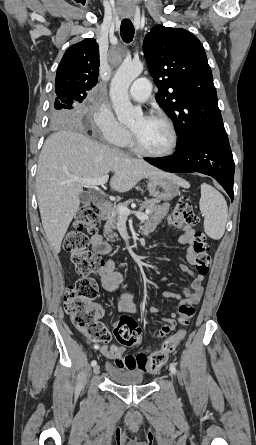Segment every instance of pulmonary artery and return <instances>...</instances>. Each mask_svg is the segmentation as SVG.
Segmentation results:
<instances>
[{"label": "pulmonary artery", "mask_w": 256, "mask_h": 445, "mask_svg": "<svg viewBox=\"0 0 256 445\" xmlns=\"http://www.w3.org/2000/svg\"><path fill=\"white\" fill-rule=\"evenodd\" d=\"M151 93V83L146 78H139L133 82L129 89L131 99L137 102H145Z\"/></svg>", "instance_id": "pulmonary-artery-1"}]
</instances>
